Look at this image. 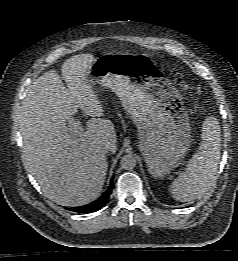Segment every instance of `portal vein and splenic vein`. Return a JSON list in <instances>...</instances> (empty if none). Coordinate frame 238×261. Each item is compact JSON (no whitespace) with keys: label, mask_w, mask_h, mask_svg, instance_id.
Instances as JSON below:
<instances>
[{"label":"portal vein and splenic vein","mask_w":238,"mask_h":261,"mask_svg":"<svg viewBox=\"0 0 238 261\" xmlns=\"http://www.w3.org/2000/svg\"><path fill=\"white\" fill-rule=\"evenodd\" d=\"M70 129L72 131H79V130H82V126H81V122L79 120H76V121H71L70 122Z\"/></svg>","instance_id":"portal-vein-and-splenic-vein-1"}]
</instances>
